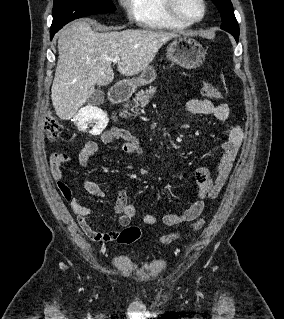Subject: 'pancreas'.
Masks as SVG:
<instances>
[{"instance_id": "obj_1", "label": "pancreas", "mask_w": 284, "mask_h": 319, "mask_svg": "<svg viewBox=\"0 0 284 319\" xmlns=\"http://www.w3.org/2000/svg\"><path fill=\"white\" fill-rule=\"evenodd\" d=\"M156 92L155 87H149V89L141 90L138 93H136V97L133 99L134 101V106L131 105V111L135 114H138L139 107L144 108L146 105L149 103L151 97L154 95ZM126 108H130V106L127 104L125 105ZM128 112L127 110H123V113L121 115L123 117H127Z\"/></svg>"}]
</instances>
